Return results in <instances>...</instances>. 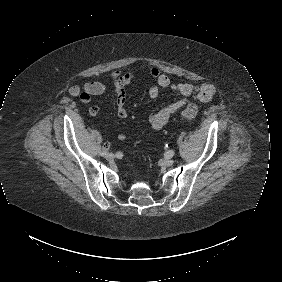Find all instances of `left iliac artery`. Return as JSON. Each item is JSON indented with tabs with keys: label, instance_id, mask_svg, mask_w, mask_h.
<instances>
[{
	"label": "left iliac artery",
	"instance_id": "obj_1",
	"mask_svg": "<svg viewBox=\"0 0 282 282\" xmlns=\"http://www.w3.org/2000/svg\"><path fill=\"white\" fill-rule=\"evenodd\" d=\"M174 155V151L170 150L167 152V156L172 157Z\"/></svg>",
	"mask_w": 282,
	"mask_h": 282
}]
</instances>
